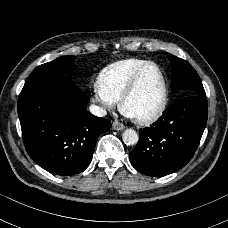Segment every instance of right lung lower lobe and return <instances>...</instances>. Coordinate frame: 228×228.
<instances>
[{"mask_svg":"<svg viewBox=\"0 0 228 228\" xmlns=\"http://www.w3.org/2000/svg\"><path fill=\"white\" fill-rule=\"evenodd\" d=\"M88 96L64 74L26 81L18 116L27 153L48 172L69 176L84 171L109 120L86 110Z\"/></svg>","mask_w":228,"mask_h":228,"instance_id":"right-lung-lower-lobe-1","label":"right lung lower lobe"}]
</instances>
